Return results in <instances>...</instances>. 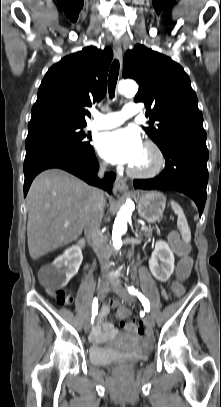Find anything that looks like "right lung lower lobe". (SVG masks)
Listing matches in <instances>:
<instances>
[{
	"label": "right lung lower lobe",
	"instance_id": "98d812e1",
	"mask_svg": "<svg viewBox=\"0 0 221 407\" xmlns=\"http://www.w3.org/2000/svg\"><path fill=\"white\" fill-rule=\"evenodd\" d=\"M49 168L64 169L90 185L106 190L111 194L116 175L107 173L103 180L97 177L99 164L94 149L89 153L78 152L73 147L55 141H37L26 146L24 161V196L34 177Z\"/></svg>",
	"mask_w": 221,
	"mask_h": 407
}]
</instances>
